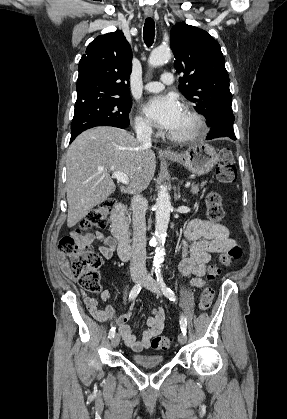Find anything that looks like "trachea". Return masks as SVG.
Segmentation results:
<instances>
[{"instance_id": "obj_1", "label": "trachea", "mask_w": 287, "mask_h": 419, "mask_svg": "<svg viewBox=\"0 0 287 419\" xmlns=\"http://www.w3.org/2000/svg\"><path fill=\"white\" fill-rule=\"evenodd\" d=\"M155 23L152 18H147L143 27V39L145 44L150 47L154 42Z\"/></svg>"}]
</instances>
